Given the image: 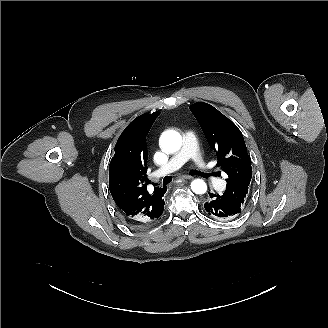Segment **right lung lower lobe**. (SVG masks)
Segmentation results:
<instances>
[{
    "mask_svg": "<svg viewBox=\"0 0 328 328\" xmlns=\"http://www.w3.org/2000/svg\"><path fill=\"white\" fill-rule=\"evenodd\" d=\"M124 219H125L127 224H129L130 226H133V222L130 219H128L126 217H124Z\"/></svg>",
    "mask_w": 328,
    "mask_h": 328,
    "instance_id": "98d812e1",
    "label": "right lung lower lobe"
}]
</instances>
